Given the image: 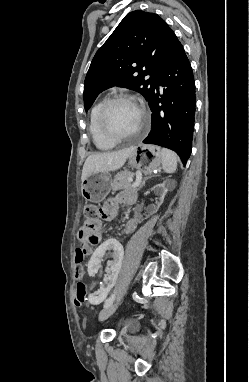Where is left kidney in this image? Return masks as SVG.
Here are the masks:
<instances>
[{"label": "left kidney", "instance_id": "1", "mask_svg": "<svg viewBox=\"0 0 249 382\" xmlns=\"http://www.w3.org/2000/svg\"><path fill=\"white\" fill-rule=\"evenodd\" d=\"M176 187V181L172 179H166L163 183L153 186L152 203H157V208L164 201V197L168 191L173 190ZM150 200V199H149ZM137 208H150L151 201H137ZM121 240L118 237H107L102 241V245L95 250L91 260L88 263V272L90 277H97L98 273H103L102 285L98 286V289L91 292L89 295L88 306L98 307L99 302H105L106 298H110L111 293L109 287L115 286V277H118V272L121 268L124 248L126 245H121ZM102 257H113L114 260H107L106 265L102 266Z\"/></svg>", "mask_w": 249, "mask_h": 382}]
</instances>
